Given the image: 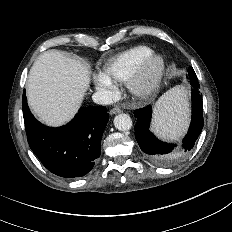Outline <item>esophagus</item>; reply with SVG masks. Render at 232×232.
<instances>
[{"instance_id": "obj_1", "label": "esophagus", "mask_w": 232, "mask_h": 232, "mask_svg": "<svg viewBox=\"0 0 232 232\" xmlns=\"http://www.w3.org/2000/svg\"><path fill=\"white\" fill-rule=\"evenodd\" d=\"M122 112V110H121V108H119V107H114V108H112L111 110H110V114L111 115H115V114H118V113H121Z\"/></svg>"}]
</instances>
